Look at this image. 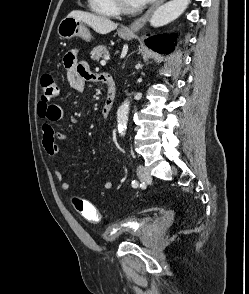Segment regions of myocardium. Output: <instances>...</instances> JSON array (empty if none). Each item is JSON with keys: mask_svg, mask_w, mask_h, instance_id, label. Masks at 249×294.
Returning a JSON list of instances; mask_svg holds the SVG:
<instances>
[{"mask_svg": "<svg viewBox=\"0 0 249 294\" xmlns=\"http://www.w3.org/2000/svg\"><path fill=\"white\" fill-rule=\"evenodd\" d=\"M119 12L131 14L138 11L136 7L128 6L124 0H113Z\"/></svg>", "mask_w": 249, "mask_h": 294, "instance_id": "obj_1", "label": "myocardium"}]
</instances>
